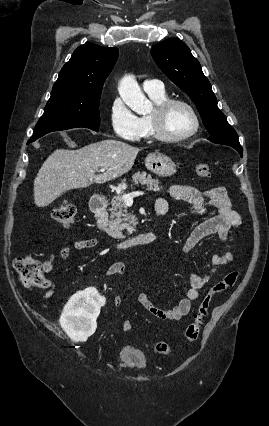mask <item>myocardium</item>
Instances as JSON below:
<instances>
[{"label":"myocardium","mask_w":269,"mask_h":426,"mask_svg":"<svg viewBox=\"0 0 269 426\" xmlns=\"http://www.w3.org/2000/svg\"><path fill=\"white\" fill-rule=\"evenodd\" d=\"M176 105L186 107L193 115V128L182 135H170L165 130V120L171 110ZM148 124L151 131V137L162 142H180L194 136L201 127L200 116L195 107L183 99H167L155 106L151 114L148 116Z\"/></svg>","instance_id":"1"}]
</instances>
